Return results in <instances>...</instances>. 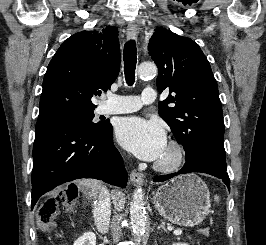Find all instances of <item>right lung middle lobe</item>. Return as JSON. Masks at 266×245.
<instances>
[{
	"label": "right lung middle lobe",
	"mask_w": 266,
	"mask_h": 245,
	"mask_svg": "<svg viewBox=\"0 0 266 245\" xmlns=\"http://www.w3.org/2000/svg\"><path fill=\"white\" fill-rule=\"evenodd\" d=\"M94 109H85V110H78V111H73L66 113L56 119H50V120H43V121H38L36 123L35 130L39 131L42 130L56 122L59 121H75V122H80L85 124L87 127L97 129L99 126H101L102 123H94L92 122V119L94 117L93 113Z\"/></svg>",
	"instance_id": "right-lung-middle-lobe-1"
}]
</instances>
